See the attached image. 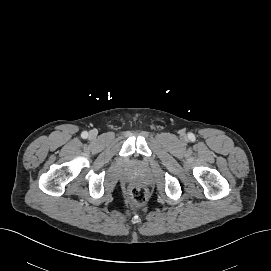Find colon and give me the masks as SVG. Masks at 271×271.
Instances as JSON below:
<instances>
[{
  "label": "colon",
  "mask_w": 271,
  "mask_h": 271,
  "mask_svg": "<svg viewBox=\"0 0 271 271\" xmlns=\"http://www.w3.org/2000/svg\"><path fill=\"white\" fill-rule=\"evenodd\" d=\"M131 201L135 206H142L148 199V191L140 186H133L130 190Z\"/></svg>",
  "instance_id": "colon-1"
}]
</instances>
